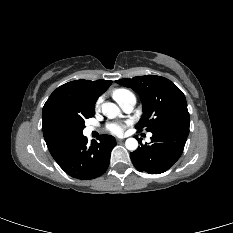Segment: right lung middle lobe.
Listing matches in <instances>:
<instances>
[{"instance_id":"dd1d6c3e","label":"right lung middle lobe","mask_w":233,"mask_h":233,"mask_svg":"<svg viewBox=\"0 0 233 233\" xmlns=\"http://www.w3.org/2000/svg\"><path fill=\"white\" fill-rule=\"evenodd\" d=\"M95 111L87 112L83 115L75 116L68 121H65L61 130L65 137L77 139L81 137L82 130L85 128L84 122L85 119H88L94 115Z\"/></svg>"}]
</instances>
